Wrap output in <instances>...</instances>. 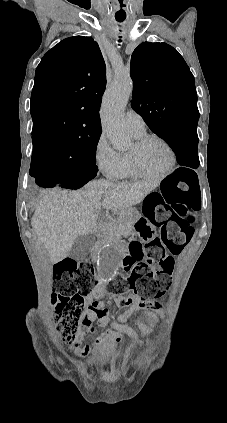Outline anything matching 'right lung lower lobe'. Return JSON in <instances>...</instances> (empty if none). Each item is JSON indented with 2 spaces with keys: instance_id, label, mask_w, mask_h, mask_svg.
<instances>
[{
  "instance_id": "1",
  "label": "right lung lower lobe",
  "mask_w": 227,
  "mask_h": 423,
  "mask_svg": "<svg viewBox=\"0 0 227 423\" xmlns=\"http://www.w3.org/2000/svg\"><path fill=\"white\" fill-rule=\"evenodd\" d=\"M40 172L41 174L35 176L34 179L36 184L43 188L78 189L96 176L77 173L66 165H60L57 160L44 162Z\"/></svg>"
}]
</instances>
